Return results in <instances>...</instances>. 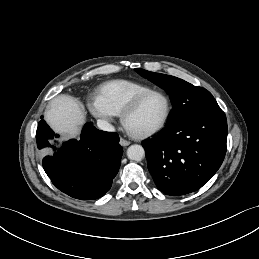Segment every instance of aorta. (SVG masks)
Listing matches in <instances>:
<instances>
[{
	"label": "aorta",
	"mask_w": 259,
	"mask_h": 259,
	"mask_svg": "<svg viewBox=\"0 0 259 259\" xmlns=\"http://www.w3.org/2000/svg\"><path fill=\"white\" fill-rule=\"evenodd\" d=\"M145 156V150L141 145L134 144L127 149V157L130 160L141 161Z\"/></svg>",
	"instance_id": "aorta-1"
}]
</instances>
